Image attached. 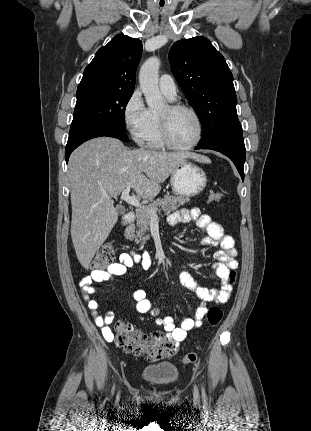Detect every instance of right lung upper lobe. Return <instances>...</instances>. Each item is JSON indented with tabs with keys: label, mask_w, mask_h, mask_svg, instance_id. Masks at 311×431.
Segmentation results:
<instances>
[{
	"label": "right lung upper lobe",
	"mask_w": 311,
	"mask_h": 431,
	"mask_svg": "<svg viewBox=\"0 0 311 431\" xmlns=\"http://www.w3.org/2000/svg\"><path fill=\"white\" fill-rule=\"evenodd\" d=\"M142 53V42L126 35L115 36L101 47L85 68L77 91L104 89L133 92L135 73Z\"/></svg>",
	"instance_id": "1"
}]
</instances>
